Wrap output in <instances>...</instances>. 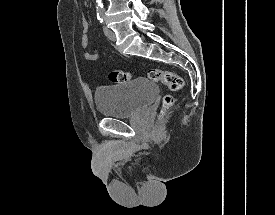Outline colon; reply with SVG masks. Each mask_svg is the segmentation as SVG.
Wrapping results in <instances>:
<instances>
[{
  "label": "colon",
  "mask_w": 275,
  "mask_h": 215,
  "mask_svg": "<svg viewBox=\"0 0 275 215\" xmlns=\"http://www.w3.org/2000/svg\"><path fill=\"white\" fill-rule=\"evenodd\" d=\"M148 78L153 82L162 83L171 91H179L184 87L183 79L179 75L163 69H150L148 71ZM109 79L112 83L122 84L130 79V73L120 69L112 70L109 72ZM174 101L172 95H166L162 102V113L171 107Z\"/></svg>",
  "instance_id": "obj_1"
}]
</instances>
